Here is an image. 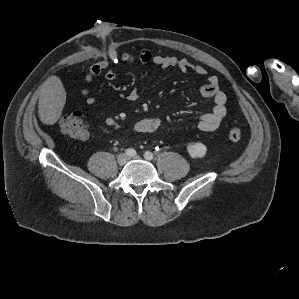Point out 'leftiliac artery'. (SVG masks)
I'll return each mask as SVG.
<instances>
[{
  "label": "left iliac artery",
  "mask_w": 299,
  "mask_h": 299,
  "mask_svg": "<svg viewBox=\"0 0 299 299\" xmlns=\"http://www.w3.org/2000/svg\"><path fill=\"white\" fill-rule=\"evenodd\" d=\"M144 157H145L147 160H152V159H153V153L147 151V152H145Z\"/></svg>",
  "instance_id": "left-iliac-artery-1"
}]
</instances>
